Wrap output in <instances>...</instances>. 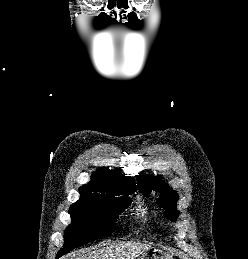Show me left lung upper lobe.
I'll use <instances>...</instances> for the list:
<instances>
[{"label": "left lung upper lobe", "mask_w": 248, "mask_h": 259, "mask_svg": "<svg viewBox=\"0 0 248 259\" xmlns=\"http://www.w3.org/2000/svg\"><path fill=\"white\" fill-rule=\"evenodd\" d=\"M160 180L157 178H153L147 174H139L137 176V183L140 189V192L143 193L144 196H149L152 189L159 191L161 194L157 199V203L159 207L164 208L165 212L164 215L172 220L175 221L177 219V215L179 211L176 210V202L178 200V195L175 191H172L167 185H159L157 186L155 183L159 182Z\"/></svg>", "instance_id": "left-lung-upper-lobe-1"}]
</instances>
